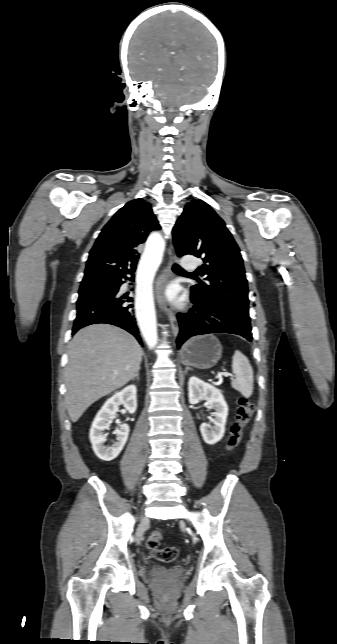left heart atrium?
<instances>
[{
  "label": "left heart atrium",
  "instance_id": "39dd6f15",
  "mask_svg": "<svg viewBox=\"0 0 337 644\" xmlns=\"http://www.w3.org/2000/svg\"><path fill=\"white\" fill-rule=\"evenodd\" d=\"M168 294H169V297H170L171 299H174V298H175V292H174V289H170V290L168 291Z\"/></svg>",
  "mask_w": 337,
  "mask_h": 644
}]
</instances>
